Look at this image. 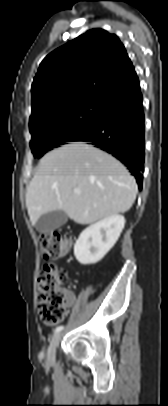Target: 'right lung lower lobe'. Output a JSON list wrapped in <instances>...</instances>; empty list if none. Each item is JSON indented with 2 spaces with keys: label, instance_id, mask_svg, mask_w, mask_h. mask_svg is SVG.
I'll return each instance as SVG.
<instances>
[{
  "label": "right lung lower lobe",
  "instance_id": "1",
  "mask_svg": "<svg viewBox=\"0 0 168 406\" xmlns=\"http://www.w3.org/2000/svg\"><path fill=\"white\" fill-rule=\"evenodd\" d=\"M100 120L72 141L88 142L125 164L142 188L144 113L139 80L107 95Z\"/></svg>",
  "mask_w": 168,
  "mask_h": 406
}]
</instances>
